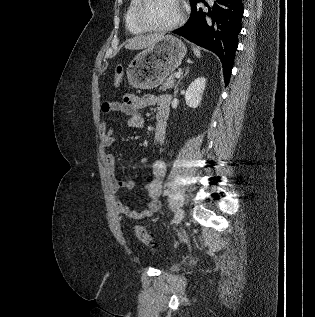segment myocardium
<instances>
[{"instance_id":"myocardium-1","label":"myocardium","mask_w":315,"mask_h":317,"mask_svg":"<svg viewBox=\"0 0 315 317\" xmlns=\"http://www.w3.org/2000/svg\"><path fill=\"white\" fill-rule=\"evenodd\" d=\"M148 1L149 0H138V4L136 5L135 13H134V17H135V21H136L137 25L140 28H142L143 30L153 31V32L171 31L173 29L178 28L179 26H181L184 23L185 18H186V10H185V6L181 0H179L180 15L176 21H174L171 24L165 25V26H155V25H151V24L147 23L143 18V10H144L146 4L148 3Z\"/></svg>"}]
</instances>
